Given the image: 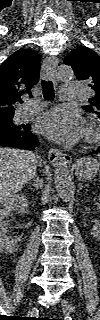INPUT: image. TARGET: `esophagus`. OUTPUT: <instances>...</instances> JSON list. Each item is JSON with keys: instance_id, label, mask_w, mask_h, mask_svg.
I'll return each mask as SVG.
<instances>
[{"instance_id": "obj_1", "label": "esophagus", "mask_w": 100, "mask_h": 320, "mask_svg": "<svg viewBox=\"0 0 100 320\" xmlns=\"http://www.w3.org/2000/svg\"><path fill=\"white\" fill-rule=\"evenodd\" d=\"M58 58L54 56H48L45 58L43 63V77L50 78L55 85H57V80L55 78V69L58 65ZM48 159L51 164H69L71 162V156L63 154L60 150L55 148H50L48 151Z\"/></svg>"}]
</instances>
